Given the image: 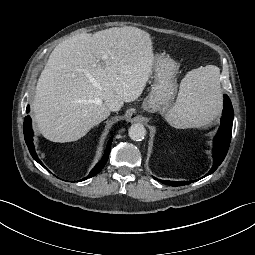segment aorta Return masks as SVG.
<instances>
[{"mask_svg": "<svg viewBox=\"0 0 255 255\" xmlns=\"http://www.w3.org/2000/svg\"><path fill=\"white\" fill-rule=\"evenodd\" d=\"M128 134L133 141H141L146 136V129L142 124H133L129 128Z\"/></svg>", "mask_w": 255, "mask_h": 255, "instance_id": "obj_1", "label": "aorta"}]
</instances>
